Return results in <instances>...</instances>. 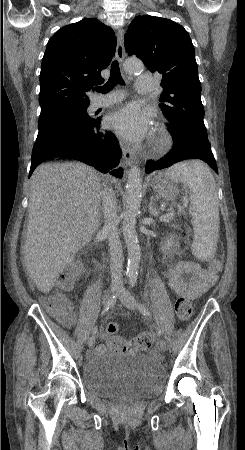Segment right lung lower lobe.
Returning <instances> with one entry per match:
<instances>
[{"label": "right lung lower lobe", "mask_w": 245, "mask_h": 450, "mask_svg": "<svg viewBox=\"0 0 245 450\" xmlns=\"http://www.w3.org/2000/svg\"><path fill=\"white\" fill-rule=\"evenodd\" d=\"M100 118L92 119L80 127L60 130V133L32 151L29 177L42 162L52 158H70L83 161L97 170L121 178L123 169L118 168L121 150L111 133H99Z\"/></svg>", "instance_id": "1"}]
</instances>
